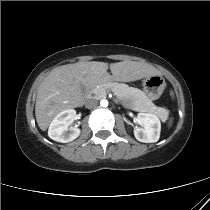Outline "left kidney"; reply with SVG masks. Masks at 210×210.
I'll list each match as a JSON object with an SVG mask.
<instances>
[{
    "instance_id": "1",
    "label": "left kidney",
    "mask_w": 210,
    "mask_h": 210,
    "mask_svg": "<svg viewBox=\"0 0 210 210\" xmlns=\"http://www.w3.org/2000/svg\"><path fill=\"white\" fill-rule=\"evenodd\" d=\"M137 122L142 128L134 129L135 138L143 143H154L159 140L161 122L159 118L152 113H138Z\"/></svg>"
}]
</instances>
